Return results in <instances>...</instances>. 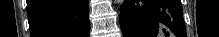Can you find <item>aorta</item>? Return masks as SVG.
<instances>
[{
	"instance_id": "1",
	"label": "aorta",
	"mask_w": 219,
	"mask_h": 37,
	"mask_svg": "<svg viewBox=\"0 0 219 37\" xmlns=\"http://www.w3.org/2000/svg\"><path fill=\"white\" fill-rule=\"evenodd\" d=\"M118 4H123V0H115Z\"/></svg>"
}]
</instances>
